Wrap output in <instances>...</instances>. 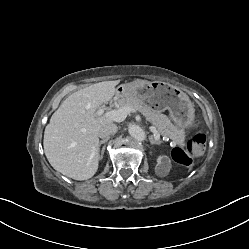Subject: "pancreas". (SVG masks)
Wrapping results in <instances>:
<instances>
[{"mask_svg": "<svg viewBox=\"0 0 249 249\" xmlns=\"http://www.w3.org/2000/svg\"><path fill=\"white\" fill-rule=\"evenodd\" d=\"M118 105L120 107L130 106L136 111L141 112L146 117V119L157 128L158 132L162 136L170 138L174 145H178L180 147L185 145V132L183 129L174 125L166 115L154 111L133 97H124L119 99Z\"/></svg>", "mask_w": 249, "mask_h": 249, "instance_id": "pancreas-1", "label": "pancreas"}]
</instances>
